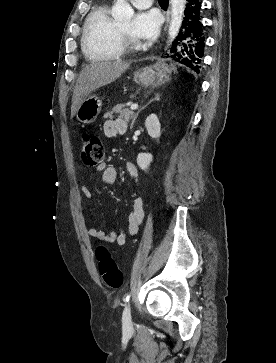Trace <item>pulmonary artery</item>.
<instances>
[{"label":"pulmonary artery","instance_id":"obj_1","mask_svg":"<svg viewBox=\"0 0 276 363\" xmlns=\"http://www.w3.org/2000/svg\"><path fill=\"white\" fill-rule=\"evenodd\" d=\"M153 0H131V3L138 9H146L151 6Z\"/></svg>","mask_w":276,"mask_h":363}]
</instances>
